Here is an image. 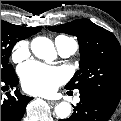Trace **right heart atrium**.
I'll return each mask as SVG.
<instances>
[{"instance_id": "d8ad5b80", "label": "right heart atrium", "mask_w": 121, "mask_h": 121, "mask_svg": "<svg viewBox=\"0 0 121 121\" xmlns=\"http://www.w3.org/2000/svg\"><path fill=\"white\" fill-rule=\"evenodd\" d=\"M30 49L27 41H19L15 44L12 52L14 62H21L29 56Z\"/></svg>"}]
</instances>
